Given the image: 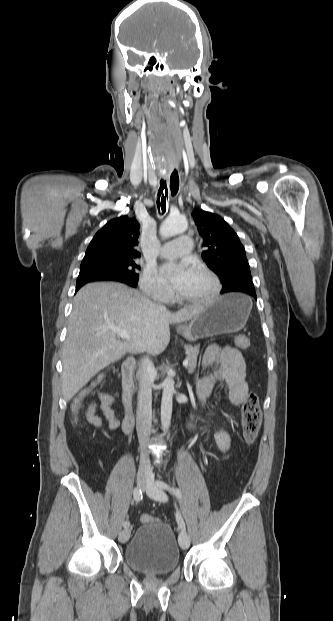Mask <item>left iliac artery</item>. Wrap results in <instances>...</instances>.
Returning a JSON list of instances; mask_svg holds the SVG:
<instances>
[{"mask_svg":"<svg viewBox=\"0 0 333 621\" xmlns=\"http://www.w3.org/2000/svg\"><path fill=\"white\" fill-rule=\"evenodd\" d=\"M156 485L159 488L168 490L169 492L174 494L178 498V500H180L182 498V492H181L180 489H178L176 487H171L170 485H168L167 483H165L164 481H161V480H157L156 481ZM176 520H177L178 526L182 530H185V523H184V520H183V518H182V516H181L179 511L176 512Z\"/></svg>","mask_w":333,"mask_h":621,"instance_id":"obj_1","label":"left iliac artery"}]
</instances>
